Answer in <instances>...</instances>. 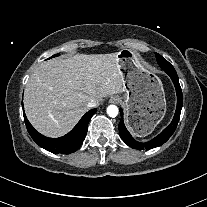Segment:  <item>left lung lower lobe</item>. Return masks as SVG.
<instances>
[{
  "mask_svg": "<svg viewBox=\"0 0 207 207\" xmlns=\"http://www.w3.org/2000/svg\"><path fill=\"white\" fill-rule=\"evenodd\" d=\"M163 70H165V72L170 76L171 80L173 81L177 94V107H176L175 115L168 127H166L159 135L154 137L152 140L146 143L138 142L131 136V134L126 129L123 121V112L122 109H120V114H121V121L119 123L120 136L127 145H129L134 149L143 150V149H151L160 146L171 137L179 122L181 109L183 106L182 90L179 84V79L173 67L170 68L166 67Z\"/></svg>",
  "mask_w": 207,
  "mask_h": 207,
  "instance_id": "left-lung-lower-lobe-1",
  "label": "left lung lower lobe"
}]
</instances>
